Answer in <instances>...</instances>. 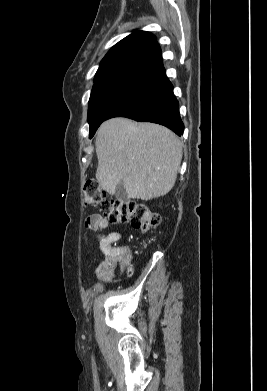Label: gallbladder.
I'll return each instance as SVG.
<instances>
[{
	"mask_svg": "<svg viewBox=\"0 0 267 391\" xmlns=\"http://www.w3.org/2000/svg\"><path fill=\"white\" fill-rule=\"evenodd\" d=\"M115 196L120 202H127L129 200L122 182L116 186Z\"/></svg>",
	"mask_w": 267,
	"mask_h": 391,
	"instance_id": "1",
	"label": "gallbladder"
}]
</instances>
